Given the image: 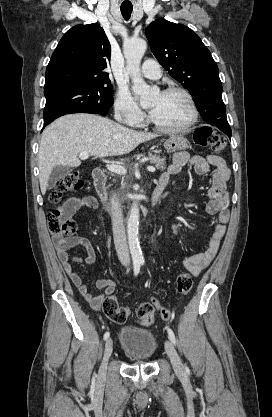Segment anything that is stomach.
Instances as JSON below:
<instances>
[{
    "mask_svg": "<svg viewBox=\"0 0 272 417\" xmlns=\"http://www.w3.org/2000/svg\"><path fill=\"white\" fill-rule=\"evenodd\" d=\"M189 146V141L181 135L171 136L164 142V147L168 152L186 150Z\"/></svg>",
    "mask_w": 272,
    "mask_h": 417,
    "instance_id": "stomach-1",
    "label": "stomach"
}]
</instances>
